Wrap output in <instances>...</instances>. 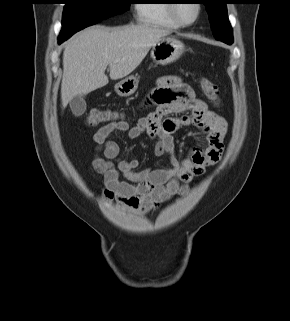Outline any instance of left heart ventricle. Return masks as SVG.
<instances>
[{"instance_id": "1", "label": "left heart ventricle", "mask_w": 290, "mask_h": 321, "mask_svg": "<svg viewBox=\"0 0 290 321\" xmlns=\"http://www.w3.org/2000/svg\"><path fill=\"white\" fill-rule=\"evenodd\" d=\"M177 12L184 21H192L197 13L196 5L193 2L179 3Z\"/></svg>"}]
</instances>
